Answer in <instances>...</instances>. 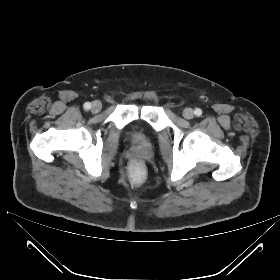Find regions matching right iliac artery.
Listing matches in <instances>:
<instances>
[{
  "label": "right iliac artery",
  "instance_id": "82829eb1",
  "mask_svg": "<svg viewBox=\"0 0 280 280\" xmlns=\"http://www.w3.org/2000/svg\"><path fill=\"white\" fill-rule=\"evenodd\" d=\"M84 108H85L86 110H89V109L91 108V104H90L89 102H86V103L84 104Z\"/></svg>",
  "mask_w": 280,
  "mask_h": 280
}]
</instances>
